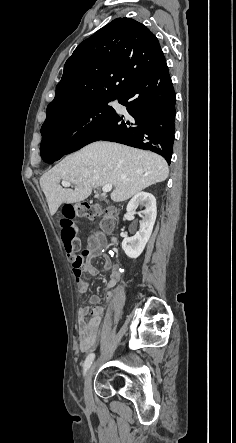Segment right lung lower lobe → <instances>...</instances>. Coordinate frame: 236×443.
<instances>
[{
    "label": "right lung lower lobe",
    "instance_id": "right-lung-lower-lobe-1",
    "mask_svg": "<svg viewBox=\"0 0 236 443\" xmlns=\"http://www.w3.org/2000/svg\"><path fill=\"white\" fill-rule=\"evenodd\" d=\"M128 115L113 111L66 146H45L42 159L52 164L65 154L98 140L115 141L151 150L171 162L174 142L175 92L162 56L154 67L136 79L118 97Z\"/></svg>",
    "mask_w": 236,
    "mask_h": 443
}]
</instances>
